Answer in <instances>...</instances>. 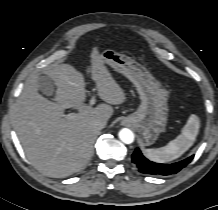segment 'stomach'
<instances>
[{"label":"stomach","mask_w":218,"mask_h":210,"mask_svg":"<svg viewBox=\"0 0 218 210\" xmlns=\"http://www.w3.org/2000/svg\"><path fill=\"white\" fill-rule=\"evenodd\" d=\"M105 64L127 77L136 87L141 104L122 123L133 126L140 134L142 145L155 143L164 131L168 117V92L149 71L130 57L107 49L101 53Z\"/></svg>","instance_id":"stomach-1"}]
</instances>
